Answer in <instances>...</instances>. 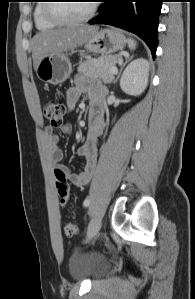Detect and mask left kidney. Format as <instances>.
Instances as JSON below:
<instances>
[{
    "mask_svg": "<svg viewBox=\"0 0 195 299\" xmlns=\"http://www.w3.org/2000/svg\"><path fill=\"white\" fill-rule=\"evenodd\" d=\"M149 62L144 58L133 60L120 79L121 89L129 95L139 96L148 84Z\"/></svg>",
    "mask_w": 195,
    "mask_h": 299,
    "instance_id": "1",
    "label": "left kidney"
}]
</instances>
